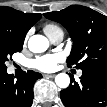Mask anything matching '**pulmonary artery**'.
<instances>
[{"label":"pulmonary artery","instance_id":"obj_1","mask_svg":"<svg viewBox=\"0 0 107 107\" xmlns=\"http://www.w3.org/2000/svg\"><path fill=\"white\" fill-rule=\"evenodd\" d=\"M64 38V33L63 32H60L58 34H56L51 40L54 42V43H60ZM82 72H79V75H81Z\"/></svg>","mask_w":107,"mask_h":107}]
</instances>
